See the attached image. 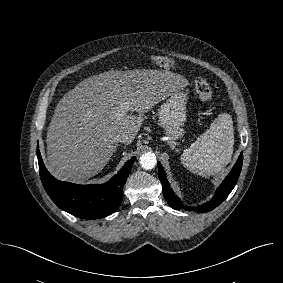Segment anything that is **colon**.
I'll return each mask as SVG.
<instances>
[{
	"label": "colon",
	"mask_w": 283,
	"mask_h": 283,
	"mask_svg": "<svg viewBox=\"0 0 283 283\" xmlns=\"http://www.w3.org/2000/svg\"><path fill=\"white\" fill-rule=\"evenodd\" d=\"M153 62L164 68L174 67V61L168 57L155 55L152 58ZM194 87L197 95L204 103H210L213 97V92L209 83L203 78H197L194 82Z\"/></svg>",
	"instance_id": "1"
}]
</instances>
